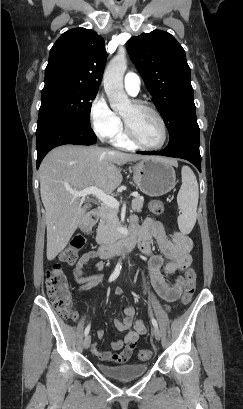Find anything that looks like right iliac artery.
I'll use <instances>...</instances> for the list:
<instances>
[{
	"label": "right iliac artery",
	"mask_w": 243,
	"mask_h": 409,
	"mask_svg": "<svg viewBox=\"0 0 243 409\" xmlns=\"http://www.w3.org/2000/svg\"><path fill=\"white\" fill-rule=\"evenodd\" d=\"M122 263L118 262V264L115 267V270L113 271V273L110 275L109 277V282L114 281L120 274V270H121V266ZM90 331V324L86 327L85 331H84V335L87 336L89 334Z\"/></svg>",
	"instance_id": "right-iliac-artery-1"
}]
</instances>
